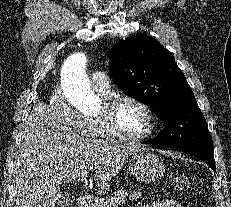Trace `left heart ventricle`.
<instances>
[{
    "label": "left heart ventricle",
    "mask_w": 231,
    "mask_h": 207,
    "mask_svg": "<svg viewBox=\"0 0 231 207\" xmlns=\"http://www.w3.org/2000/svg\"><path fill=\"white\" fill-rule=\"evenodd\" d=\"M115 121L118 127L129 136L142 134L147 129L148 125L144 110L131 102H125L118 107Z\"/></svg>",
    "instance_id": "1"
}]
</instances>
